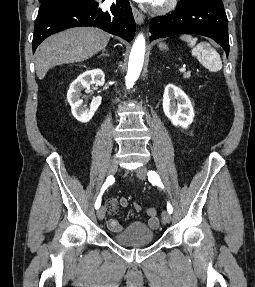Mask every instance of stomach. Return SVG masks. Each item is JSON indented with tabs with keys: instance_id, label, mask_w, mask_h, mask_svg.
<instances>
[{
	"instance_id": "obj_1",
	"label": "stomach",
	"mask_w": 255,
	"mask_h": 287,
	"mask_svg": "<svg viewBox=\"0 0 255 287\" xmlns=\"http://www.w3.org/2000/svg\"><path fill=\"white\" fill-rule=\"evenodd\" d=\"M160 50H167L166 44H159Z\"/></svg>"
}]
</instances>
